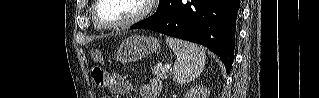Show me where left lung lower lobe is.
I'll return each mask as SVG.
<instances>
[{"label":"left lung lower lobe","mask_w":319,"mask_h":98,"mask_svg":"<svg viewBox=\"0 0 319 98\" xmlns=\"http://www.w3.org/2000/svg\"><path fill=\"white\" fill-rule=\"evenodd\" d=\"M240 0H165L162 16L143 28L208 47L225 64L229 74L235 47Z\"/></svg>","instance_id":"0a47b994"}]
</instances>
